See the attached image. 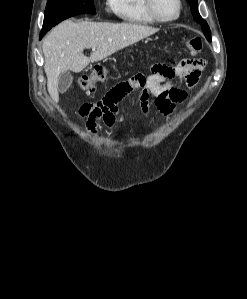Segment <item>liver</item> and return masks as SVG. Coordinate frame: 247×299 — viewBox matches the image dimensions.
Returning <instances> with one entry per match:
<instances>
[{"instance_id": "1", "label": "liver", "mask_w": 247, "mask_h": 299, "mask_svg": "<svg viewBox=\"0 0 247 299\" xmlns=\"http://www.w3.org/2000/svg\"><path fill=\"white\" fill-rule=\"evenodd\" d=\"M158 32L157 28L132 23H109L66 20L44 39L42 48L47 89L51 98L59 100L58 78L62 72H81L90 62H97ZM91 49L90 57L83 54Z\"/></svg>"}]
</instances>
